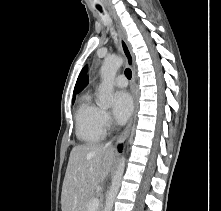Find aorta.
I'll return each mask as SVG.
<instances>
[{"instance_id":"1","label":"aorta","mask_w":221,"mask_h":211,"mask_svg":"<svg viewBox=\"0 0 221 211\" xmlns=\"http://www.w3.org/2000/svg\"><path fill=\"white\" fill-rule=\"evenodd\" d=\"M121 57L106 58L101 67L102 83L99 87L97 105L101 108H108L114 103V79L118 69L122 66ZM125 168V158L119 161L115 175L112 178V185L106 198L104 211H112L113 203L121 185Z\"/></svg>"}]
</instances>
